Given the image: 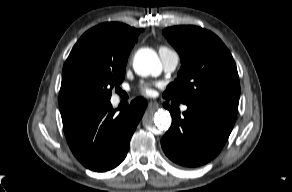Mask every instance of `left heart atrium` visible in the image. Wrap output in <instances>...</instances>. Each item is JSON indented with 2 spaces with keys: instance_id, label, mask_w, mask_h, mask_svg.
<instances>
[{
  "instance_id": "left-heart-atrium-1",
  "label": "left heart atrium",
  "mask_w": 292,
  "mask_h": 192,
  "mask_svg": "<svg viewBox=\"0 0 292 192\" xmlns=\"http://www.w3.org/2000/svg\"><path fill=\"white\" fill-rule=\"evenodd\" d=\"M141 91L145 95H152L153 94V89L149 85H142L141 86Z\"/></svg>"
}]
</instances>
